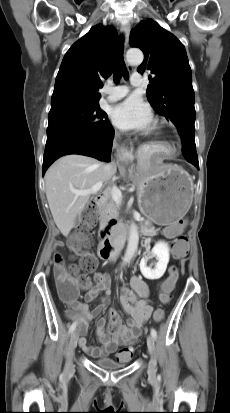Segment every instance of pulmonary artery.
<instances>
[{"label":"pulmonary artery","instance_id":"e3ab8cb5","mask_svg":"<svg viewBox=\"0 0 230 413\" xmlns=\"http://www.w3.org/2000/svg\"><path fill=\"white\" fill-rule=\"evenodd\" d=\"M130 83L132 86H140L143 84V78L141 74L139 73H134L131 75L130 78ZM105 93L108 95L107 96V101L108 102H115L123 97H125L128 92L129 88L127 86H116V87H105L104 89Z\"/></svg>","mask_w":230,"mask_h":413}]
</instances>
